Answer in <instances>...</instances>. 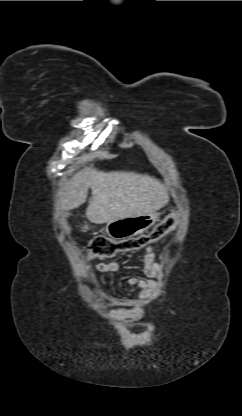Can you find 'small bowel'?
<instances>
[{
  "mask_svg": "<svg viewBox=\"0 0 242 416\" xmlns=\"http://www.w3.org/2000/svg\"><path fill=\"white\" fill-rule=\"evenodd\" d=\"M143 261V271L147 279L130 277L127 281L130 286L137 287L140 290L137 298L121 299L118 301L119 306L111 311V319L120 328H123L125 322L135 320L144 314L160 280L162 268L151 246L145 249ZM95 269L100 273L113 275L120 269V264L117 261L98 263L95 265Z\"/></svg>",
  "mask_w": 242,
  "mask_h": 416,
  "instance_id": "c3829d8e",
  "label": "small bowel"
}]
</instances>
